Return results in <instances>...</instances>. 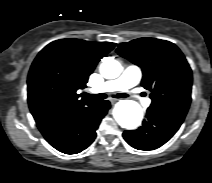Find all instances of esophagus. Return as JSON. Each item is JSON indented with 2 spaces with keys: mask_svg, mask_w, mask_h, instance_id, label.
Here are the masks:
<instances>
[{
  "mask_svg": "<svg viewBox=\"0 0 212 183\" xmlns=\"http://www.w3.org/2000/svg\"><path fill=\"white\" fill-rule=\"evenodd\" d=\"M117 101H119V99H114V98L110 99L111 104H114V103H116Z\"/></svg>",
  "mask_w": 212,
  "mask_h": 183,
  "instance_id": "1",
  "label": "esophagus"
}]
</instances>
